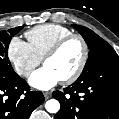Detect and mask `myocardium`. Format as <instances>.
Listing matches in <instances>:
<instances>
[{
	"mask_svg": "<svg viewBox=\"0 0 119 119\" xmlns=\"http://www.w3.org/2000/svg\"><path fill=\"white\" fill-rule=\"evenodd\" d=\"M72 40H79L80 41L82 48H83V55H82L81 62L79 64V66L77 67V69L71 75H69L68 77L61 80V82L63 84L73 83L83 73V71L86 67V64L88 62V59H89V46H88L86 40L81 35L73 33V34L68 35V36L62 38L61 40H59L54 46H52L47 51V53L43 57V64H45V62L48 59L56 56L63 49V47Z\"/></svg>",
	"mask_w": 119,
	"mask_h": 119,
	"instance_id": "1",
	"label": "myocardium"
}]
</instances>
